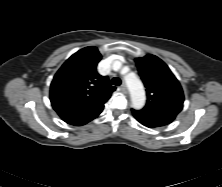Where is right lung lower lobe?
I'll return each mask as SVG.
<instances>
[{"mask_svg":"<svg viewBox=\"0 0 222 187\" xmlns=\"http://www.w3.org/2000/svg\"><path fill=\"white\" fill-rule=\"evenodd\" d=\"M93 119L94 118L89 119V120L70 121V122H67V123L71 124V125H75V126H81V125H84V124L88 123L89 121H91Z\"/></svg>","mask_w":222,"mask_h":187,"instance_id":"98d812e1","label":"right lung lower lobe"}]
</instances>
